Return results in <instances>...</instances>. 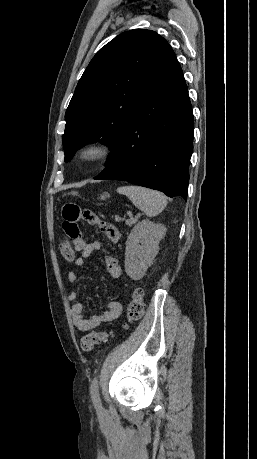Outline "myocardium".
Returning a JSON list of instances; mask_svg holds the SVG:
<instances>
[{"label":"myocardium","mask_w":257,"mask_h":459,"mask_svg":"<svg viewBox=\"0 0 257 459\" xmlns=\"http://www.w3.org/2000/svg\"><path fill=\"white\" fill-rule=\"evenodd\" d=\"M112 147L105 141H92L78 149L76 157L78 161L86 166L92 167L105 160L112 154Z\"/></svg>","instance_id":"1"}]
</instances>
